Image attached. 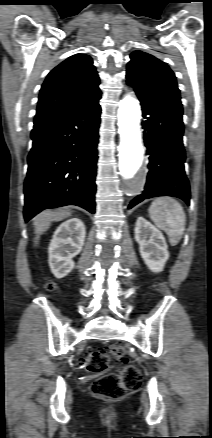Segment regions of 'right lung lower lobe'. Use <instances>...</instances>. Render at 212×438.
<instances>
[{"label": "right lung lower lobe", "mask_w": 212, "mask_h": 438, "mask_svg": "<svg viewBox=\"0 0 212 438\" xmlns=\"http://www.w3.org/2000/svg\"><path fill=\"white\" fill-rule=\"evenodd\" d=\"M98 101L36 115L24 185L26 222L46 208L65 205L95 213Z\"/></svg>", "instance_id": "1"}]
</instances>
